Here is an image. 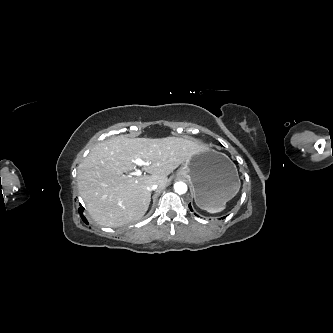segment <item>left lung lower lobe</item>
Here are the masks:
<instances>
[{
    "label": "left lung lower lobe",
    "instance_id": "1",
    "mask_svg": "<svg viewBox=\"0 0 333 333\" xmlns=\"http://www.w3.org/2000/svg\"><path fill=\"white\" fill-rule=\"evenodd\" d=\"M189 208H190V210L192 211V207H191V204H189ZM223 218H225V217H223ZM223 218H222V219H223Z\"/></svg>",
    "mask_w": 333,
    "mask_h": 333
}]
</instances>
